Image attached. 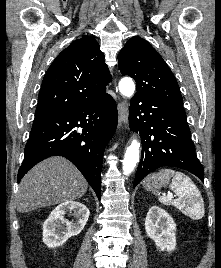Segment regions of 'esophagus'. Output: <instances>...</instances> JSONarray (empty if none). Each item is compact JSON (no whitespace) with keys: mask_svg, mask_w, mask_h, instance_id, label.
<instances>
[{"mask_svg":"<svg viewBox=\"0 0 221 268\" xmlns=\"http://www.w3.org/2000/svg\"><path fill=\"white\" fill-rule=\"evenodd\" d=\"M118 109H119L120 125L122 126L126 122L127 116H128V106H127V103L125 101L120 102Z\"/></svg>","mask_w":221,"mask_h":268,"instance_id":"obj_1","label":"esophagus"}]
</instances>
